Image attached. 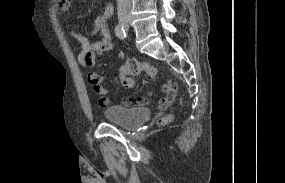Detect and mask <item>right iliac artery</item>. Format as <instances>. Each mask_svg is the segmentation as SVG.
<instances>
[{"instance_id": "1", "label": "right iliac artery", "mask_w": 285, "mask_h": 183, "mask_svg": "<svg viewBox=\"0 0 285 183\" xmlns=\"http://www.w3.org/2000/svg\"><path fill=\"white\" fill-rule=\"evenodd\" d=\"M115 33L118 38L125 39L126 38V32L122 25H117L115 28Z\"/></svg>"}]
</instances>
